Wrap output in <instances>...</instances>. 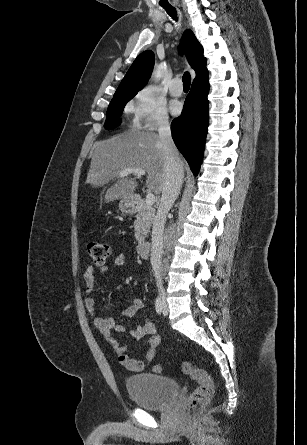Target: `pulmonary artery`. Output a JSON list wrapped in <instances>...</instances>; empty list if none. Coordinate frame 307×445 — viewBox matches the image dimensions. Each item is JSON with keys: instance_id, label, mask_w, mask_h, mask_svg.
<instances>
[{"instance_id": "pulmonary-artery-1", "label": "pulmonary artery", "mask_w": 307, "mask_h": 445, "mask_svg": "<svg viewBox=\"0 0 307 445\" xmlns=\"http://www.w3.org/2000/svg\"><path fill=\"white\" fill-rule=\"evenodd\" d=\"M169 88L171 90V93L174 96L182 95V90L184 88V83H183V81H180V76L179 75L176 74L174 76V81H170Z\"/></svg>"}]
</instances>
